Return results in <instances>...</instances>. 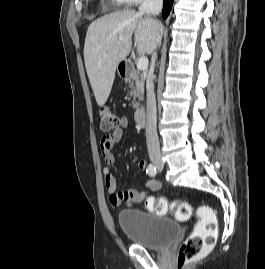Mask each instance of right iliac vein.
<instances>
[{
  "instance_id": "63e3f726",
  "label": "right iliac vein",
  "mask_w": 265,
  "mask_h": 269,
  "mask_svg": "<svg viewBox=\"0 0 265 269\" xmlns=\"http://www.w3.org/2000/svg\"><path fill=\"white\" fill-rule=\"evenodd\" d=\"M154 165L157 166V167H160L161 166V162L160 161H154Z\"/></svg>"
}]
</instances>
